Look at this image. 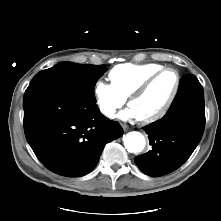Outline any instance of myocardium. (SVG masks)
<instances>
[{
  "label": "myocardium",
  "mask_w": 221,
  "mask_h": 221,
  "mask_svg": "<svg viewBox=\"0 0 221 221\" xmlns=\"http://www.w3.org/2000/svg\"><path fill=\"white\" fill-rule=\"evenodd\" d=\"M167 71L173 72L176 76V84H175V87H174V90H173L171 96L169 97L168 101L166 102L164 107L159 112H157L149 117L139 118L138 119L139 122H141L143 124H150V123L156 122V121L160 120L161 118H163L168 113L170 108L172 107V105L178 95V92L180 89V84H181V78H180L179 72L175 68H172V67H163L160 70L151 74L133 93L130 94V96L128 97L127 103L129 105V103L132 100L142 96L149 89V87L152 85V83L161 74H163Z\"/></svg>",
  "instance_id": "f54148a6"
}]
</instances>
